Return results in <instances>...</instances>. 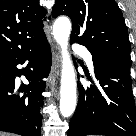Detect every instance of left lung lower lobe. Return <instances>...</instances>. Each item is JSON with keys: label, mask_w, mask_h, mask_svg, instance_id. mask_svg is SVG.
I'll list each match as a JSON object with an SVG mask.
<instances>
[{"label": "left lung lower lobe", "mask_w": 136, "mask_h": 136, "mask_svg": "<svg viewBox=\"0 0 136 136\" xmlns=\"http://www.w3.org/2000/svg\"><path fill=\"white\" fill-rule=\"evenodd\" d=\"M92 56L100 86L78 84L79 101L68 136H136L130 67Z\"/></svg>", "instance_id": "1"}]
</instances>
